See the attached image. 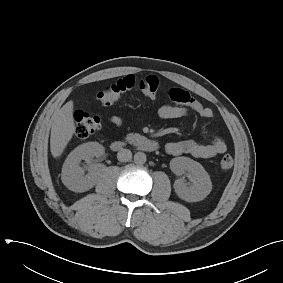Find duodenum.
Here are the masks:
<instances>
[{"label": "duodenum", "instance_id": "duodenum-1", "mask_svg": "<svg viewBox=\"0 0 283 283\" xmlns=\"http://www.w3.org/2000/svg\"><path fill=\"white\" fill-rule=\"evenodd\" d=\"M128 145L147 152H155L159 148V145L156 141L143 136L136 137L130 142L115 140L111 143L110 148L113 151L118 152L127 147Z\"/></svg>", "mask_w": 283, "mask_h": 283}]
</instances>
